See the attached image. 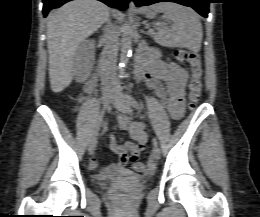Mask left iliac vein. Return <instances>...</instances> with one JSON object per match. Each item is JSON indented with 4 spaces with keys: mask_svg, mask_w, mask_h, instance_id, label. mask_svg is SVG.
Returning a JSON list of instances; mask_svg holds the SVG:
<instances>
[{
    "mask_svg": "<svg viewBox=\"0 0 260 217\" xmlns=\"http://www.w3.org/2000/svg\"><path fill=\"white\" fill-rule=\"evenodd\" d=\"M112 103L116 109L123 113L132 114L131 104L127 95H123L119 90L113 96ZM160 149L157 146H154L152 149L151 158L154 160H158L160 158Z\"/></svg>",
    "mask_w": 260,
    "mask_h": 217,
    "instance_id": "1",
    "label": "left iliac vein"
}]
</instances>
